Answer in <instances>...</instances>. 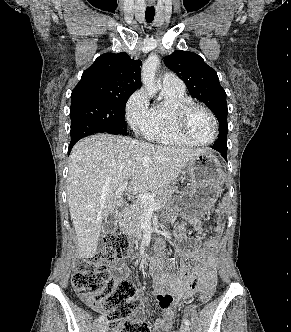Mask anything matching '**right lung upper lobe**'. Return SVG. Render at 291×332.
Wrapping results in <instances>:
<instances>
[{"label": "right lung upper lobe", "mask_w": 291, "mask_h": 332, "mask_svg": "<svg viewBox=\"0 0 291 332\" xmlns=\"http://www.w3.org/2000/svg\"><path fill=\"white\" fill-rule=\"evenodd\" d=\"M140 60L127 53H105L84 71L71 99L110 93L132 94L141 86Z\"/></svg>", "instance_id": "obj_1"}]
</instances>
